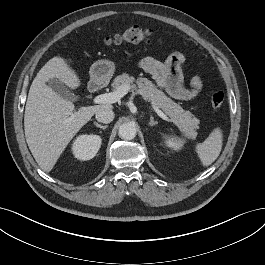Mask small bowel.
<instances>
[{
    "label": "small bowel",
    "mask_w": 265,
    "mask_h": 265,
    "mask_svg": "<svg viewBox=\"0 0 265 265\" xmlns=\"http://www.w3.org/2000/svg\"><path fill=\"white\" fill-rule=\"evenodd\" d=\"M184 56L180 52L171 53L165 61L153 57H144L140 60V68L152 75L157 85L164 89L173 98L181 101L194 99L203 87L200 75H194L188 87L183 82L182 66Z\"/></svg>",
    "instance_id": "small-bowel-1"
}]
</instances>
